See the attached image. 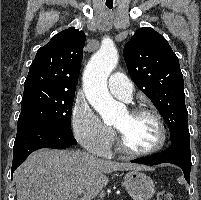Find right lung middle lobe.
Masks as SVG:
<instances>
[{
	"mask_svg": "<svg viewBox=\"0 0 201 200\" xmlns=\"http://www.w3.org/2000/svg\"><path fill=\"white\" fill-rule=\"evenodd\" d=\"M75 94L57 91H30L23 93L22 110L17 126L33 122L55 125L71 130V113Z\"/></svg>",
	"mask_w": 201,
	"mask_h": 200,
	"instance_id": "1",
	"label": "right lung middle lobe"
}]
</instances>
